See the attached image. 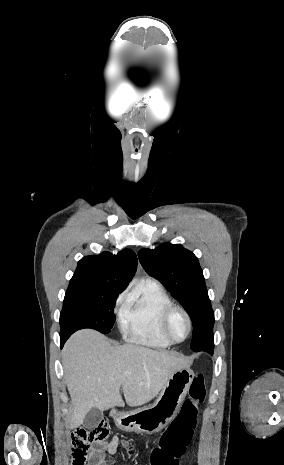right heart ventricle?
I'll list each match as a JSON object with an SVG mask.
<instances>
[{"mask_svg":"<svg viewBox=\"0 0 284 465\" xmlns=\"http://www.w3.org/2000/svg\"><path fill=\"white\" fill-rule=\"evenodd\" d=\"M172 305L173 300L158 281H146L119 311L122 337L134 346H171L160 332V320Z\"/></svg>","mask_w":284,"mask_h":465,"instance_id":"obj_1","label":"right heart ventricle"}]
</instances>
